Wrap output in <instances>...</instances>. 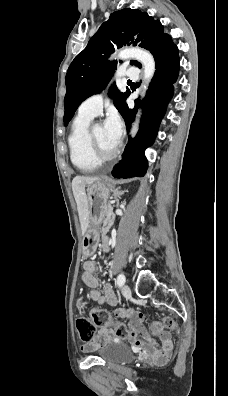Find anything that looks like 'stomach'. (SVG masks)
I'll return each instance as SVG.
<instances>
[{
  "instance_id": "1",
  "label": "stomach",
  "mask_w": 228,
  "mask_h": 396,
  "mask_svg": "<svg viewBox=\"0 0 228 396\" xmlns=\"http://www.w3.org/2000/svg\"><path fill=\"white\" fill-rule=\"evenodd\" d=\"M113 190V184L106 178L98 179L89 184L87 188V201L89 211V226L82 238V256H92L99 243V230L101 224L107 220V209L110 208L108 200Z\"/></svg>"
}]
</instances>
